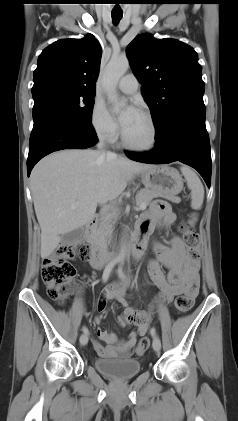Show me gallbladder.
Masks as SVG:
<instances>
[{
  "mask_svg": "<svg viewBox=\"0 0 238 421\" xmlns=\"http://www.w3.org/2000/svg\"><path fill=\"white\" fill-rule=\"evenodd\" d=\"M83 234L82 228L75 229L69 233H66L63 237L67 244H72L77 241Z\"/></svg>",
  "mask_w": 238,
  "mask_h": 421,
  "instance_id": "bac80fb5",
  "label": "gallbladder"
}]
</instances>
